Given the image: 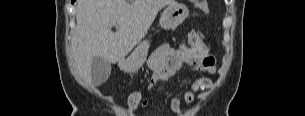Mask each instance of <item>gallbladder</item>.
I'll return each instance as SVG.
<instances>
[{
    "label": "gallbladder",
    "instance_id": "obj_1",
    "mask_svg": "<svg viewBox=\"0 0 305 116\" xmlns=\"http://www.w3.org/2000/svg\"><path fill=\"white\" fill-rule=\"evenodd\" d=\"M92 83L100 86L105 83L111 74L110 62L101 57H94L91 65Z\"/></svg>",
    "mask_w": 305,
    "mask_h": 116
}]
</instances>
